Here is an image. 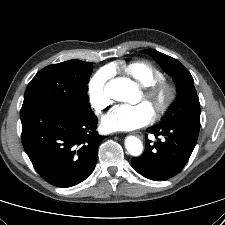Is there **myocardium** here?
Returning a JSON list of instances; mask_svg holds the SVG:
<instances>
[{
    "mask_svg": "<svg viewBox=\"0 0 225 225\" xmlns=\"http://www.w3.org/2000/svg\"><path fill=\"white\" fill-rule=\"evenodd\" d=\"M142 87L143 98L154 108L156 118H162L176 99V87L163 79Z\"/></svg>",
    "mask_w": 225,
    "mask_h": 225,
    "instance_id": "myocardium-1",
    "label": "myocardium"
}]
</instances>
